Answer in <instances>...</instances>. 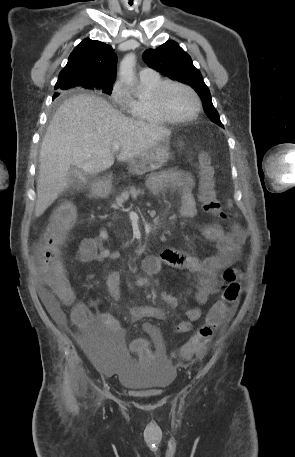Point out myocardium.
Segmentation results:
<instances>
[{
	"instance_id": "1",
	"label": "myocardium",
	"mask_w": 295,
	"mask_h": 457,
	"mask_svg": "<svg viewBox=\"0 0 295 457\" xmlns=\"http://www.w3.org/2000/svg\"><path fill=\"white\" fill-rule=\"evenodd\" d=\"M171 87H181L190 92L195 101V110L194 112L187 117H175L169 113L165 104V96L169 88ZM153 102L157 112L162 116L167 122L171 123H184L196 119L201 111V100L196 93V91L187 84L177 81H164L154 92Z\"/></svg>"
}]
</instances>
